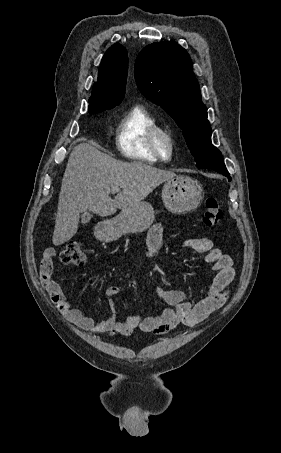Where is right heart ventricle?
Returning <instances> with one entry per match:
<instances>
[{"label": "right heart ventricle", "instance_id": "right-heart-ventricle-1", "mask_svg": "<svg viewBox=\"0 0 281 453\" xmlns=\"http://www.w3.org/2000/svg\"><path fill=\"white\" fill-rule=\"evenodd\" d=\"M159 126L156 118L143 106L125 110L116 131V146L125 157L149 163L158 162L150 146V135Z\"/></svg>", "mask_w": 281, "mask_h": 453}]
</instances>
